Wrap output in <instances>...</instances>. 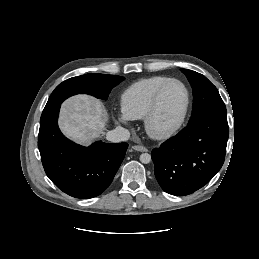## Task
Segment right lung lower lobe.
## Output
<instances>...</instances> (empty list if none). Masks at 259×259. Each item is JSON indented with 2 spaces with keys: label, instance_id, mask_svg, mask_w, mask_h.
Masks as SVG:
<instances>
[{
  "label": "right lung lower lobe",
  "instance_id": "obj_1",
  "mask_svg": "<svg viewBox=\"0 0 259 259\" xmlns=\"http://www.w3.org/2000/svg\"><path fill=\"white\" fill-rule=\"evenodd\" d=\"M60 105L43 110L38 148L50 180L64 193L76 198L101 194L112 182L125 157L127 143L96 142L77 145L60 132L57 124Z\"/></svg>",
  "mask_w": 259,
  "mask_h": 259
}]
</instances>
